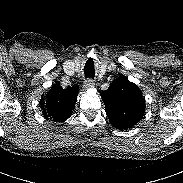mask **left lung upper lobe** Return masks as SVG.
Listing matches in <instances>:
<instances>
[{
    "label": "left lung upper lobe",
    "instance_id": "obj_1",
    "mask_svg": "<svg viewBox=\"0 0 183 183\" xmlns=\"http://www.w3.org/2000/svg\"><path fill=\"white\" fill-rule=\"evenodd\" d=\"M109 121L118 129H128L138 123L145 112L141 90L125 76L114 79L101 93Z\"/></svg>",
    "mask_w": 183,
    "mask_h": 183
}]
</instances>
